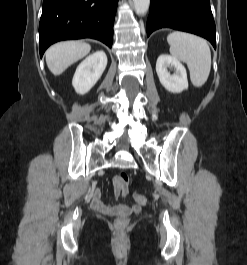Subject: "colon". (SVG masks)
Listing matches in <instances>:
<instances>
[{
	"mask_svg": "<svg viewBox=\"0 0 247 265\" xmlns=\"http://www.w3.org/2000/svg\"><path fill=\"white\" fill-rule=\"evenodd\" d=\"M115 183L119 186L120 190L123 193H126L128 190V184H129V177L125 172H120L115 179ZM135 201L141 205L144 206L147 204V199L145 196L141 194H134ZM128 224V219L126 217H119L114 222V227L116 230L122 231L126 228Z\"/></svg>",
	"mask_w": 247,
	"mask_h": 265,
	"instance_id": "5ec220e1",
	"label": "colon"
}]
</instances>
